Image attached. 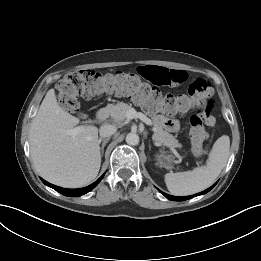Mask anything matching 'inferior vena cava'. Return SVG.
Returning <instances> with one entry per match:
<instances>
[{"label": "inferior vena cava", "instance_id": "602c4592", "mask_svg": "<svg viewBox=\"0 0 261 261\" xmlns=\"http://www.w3.org/2000/svg\"><path fill=\"white\" fill-rule=\"evenodd\" d=\"M117 131V128L111 124H104L100 127L99 133L101 138H109Z\"/></svg>", "mask_w": 261, "mask_h": 261}]
</instances>
